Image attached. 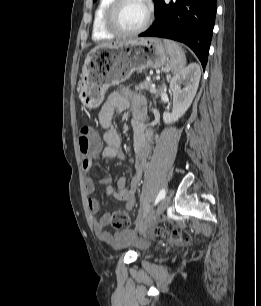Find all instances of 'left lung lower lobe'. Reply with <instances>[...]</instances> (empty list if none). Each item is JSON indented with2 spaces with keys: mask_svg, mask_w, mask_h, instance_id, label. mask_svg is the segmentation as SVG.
Wrapping results in <instances>:
<instances>
[{
  "mask_svg": "<svg viewBox=\"0 0 261 306\" xmlns=\"http://www.w3.org/2000/svg\"><path fill=\"white\" fill-rule=\"evenodd\" d=\"M155 20L139 36H156L185 43L197 55L203 69L216 16V0H154Z\"/></svg>",
  "mask_w": 261,
  "mask_h": 306,
  "instance_id": "0a47b994",
  "label": "left lung lower lobe"
}]
</instances>
